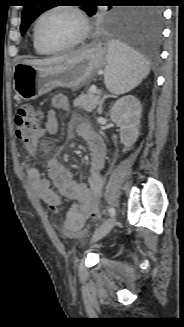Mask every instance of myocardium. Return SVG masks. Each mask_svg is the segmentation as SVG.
Instances as JSON below:
<instances>
[{
	"label": "myocardium",
	"mask_w": 184,
	"mask_h": 327,
	"mask_svg": "<svg viewBox=\"0 0 184 327\" xmlns=\"http://www.w3.org/2000/svg\"><path fill=\"white\" fill-rule=\"evenodd\" d=\"M57 10H66L69 11L71 13H73L79 20L82 30L80 35L71 43L63 45V46H59V47H51L47 44H45L40 36H39V25L40 22L42 21V19L48 15L51 12L57 11ZM90 33V23L88 21L87 16L85 15V13L77 6L74 5H68V4H60V5H54L51 6L49 8H47L46 10H44L36 19L34 27H33V36H34V40L37 43V45L42 48L43 50L50 52V53H57V52H62V51H66V50H70L72 48L77 47L78 45L82 44L87 37L89 36Z\"/></svg>",
	"instance_id": "f54148a6"
}]
</instances>
